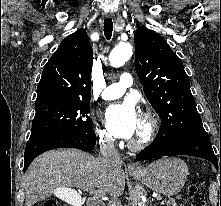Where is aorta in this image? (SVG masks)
Masks as SVG:
<instances>
[{
  "label": "aorta",
  "instance_id": "1",
  "mask_svg": "<svg viewBox=\"0 0 221 206\" xmlns=\"http://www.w3.org/2000/svg\"><path fill=\"white\" fill-rule=\"evenodd\" d=\"M133 54V47L130 43L118 44L110 53L109 61L112 67H120L130 59ZM144 206V205H139Z\"/></svg>",
  "mask_w": 221,
  "mask_h": 206
}]
</instances>
